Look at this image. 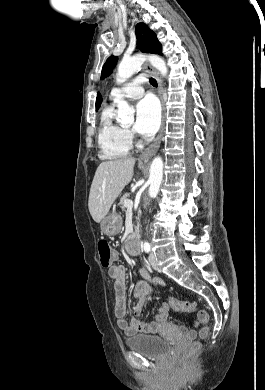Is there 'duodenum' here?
Returning a JSON list of instances; mask_svg holds the SVG:
<instances>
[{"mask_svg":"<svg viewBox=\"0 0 265 390\" xmlns=\"http://www.w3.org/2000/svg\"><path fill=\"white\" fill-rule=\"evenodd\" d=\"M138 236H139L138 233H135L131 238V240L126 244L127 250L135 255L139 254L140 252V244L138 241Z\"/></svg>","mask_w":265,"mask_h":390,"instance_id":"410a0bca","label":"duodenum"}]
</instances>
